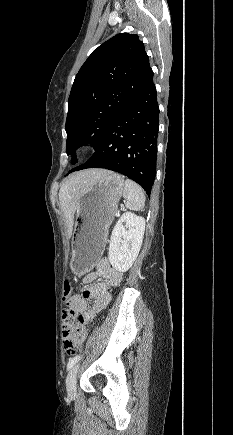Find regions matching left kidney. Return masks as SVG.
<instances>
[{"label": "left kidney", "instance_id": "5707ae66", "mask_svg": "<svg viewBox=\"0 0 233 435\" xmlns=\"http://www.w3.org/2000/svg\"><path fill=\"white\" fill-rule=\"evenodd\" d=\"M145 231V219L125 212L116 223L109 244V261L120 272L130 269L136 260Z\"/></svg>", "mask_w": 233, "mask_h": 435}]
</instances>
